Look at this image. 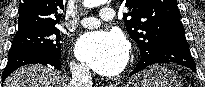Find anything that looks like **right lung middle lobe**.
Segmentation results:
<instances>
[{"label":"right lung middle lobe","mask_w":205,"mask_h":87,"mask_svg":"<svg viewBox=\"0 0 205 87\" xmlns=\"http://www.w3.org/2000/svg\"><path fill=\"white\" fill-rule=\"evenodd\" d=\"M60 32L57 28L19 31L13 39L10 50H36L61 57Z\"/></svg>","instance_id":"dd1d6c3e"}]
</instances>
